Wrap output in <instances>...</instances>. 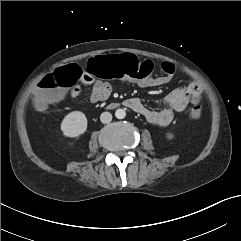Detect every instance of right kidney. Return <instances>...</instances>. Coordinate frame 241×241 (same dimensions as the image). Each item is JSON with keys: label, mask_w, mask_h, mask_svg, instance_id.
I'll return each instance as SVG.
<instances>
[{"label": "right kidney", "mask_w": 241, "mask_h": 241, "mask_svg": "<svg viewBox=\"0 0 241 241\" xmlns=\"http://www.w3.org/2000/svg\"><path fill=\"white\" fill-rule=\"evenodd\" d=\"M60 129L64 136L78 138L87 130V118L83 112L73 111L64 117Z\"/></svg>", "instance_id": "ca27d5eb"}]
</instances>
